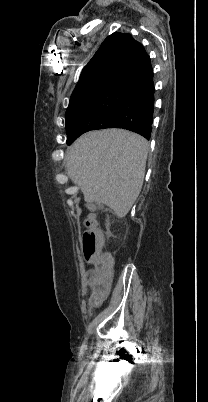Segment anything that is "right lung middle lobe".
<instances>
[{"label":"right lung middle lobe","mask_w":208,"mask_h":402,"mask_svg":"<svg viewBox=\"0 0 208 402\" xmlns=\"http://www.w3.org/2000/svg\"><path fill=\"white\" fill-rule=\"evenodd\" d=\"M120 93L115 85L103 83L95 88L71 97L66 111V123L81 121L91 116L108 115L120 110ZM79 134L68 135L67 144L70 145Z\"/></svg>","instance_id":"right-lung-middle-lobe-1"}]
</instances>
